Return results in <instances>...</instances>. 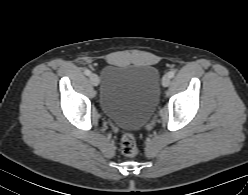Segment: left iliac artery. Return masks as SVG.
<instances>
[{
	"mask_svg": "<svg viewBox=\"0 0 248 195\" xmlns=\"http://www.w3.org/2000/svg\"><path fill=\"white\" fill-rule=\"evenodd\" d=\"M168 76H169L170 78H173V77L175 76V71H170V72L168 73Z\"/></svg>",
	"mask_w": 248,
	"mask_h": 195,
	"instance_id": "obj_1",
	"label": "left iliac artery"
}]
</instances>
